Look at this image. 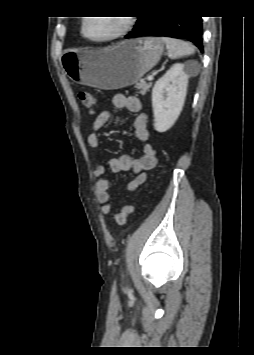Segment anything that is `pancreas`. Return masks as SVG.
<instances>
[{
  "label": "pancreas",
  "mask_w": 254,
  "mask_h": 355,
  "mask_svg": "<svg viewBox=\"0 0 254 355\" xmlns=\"http://www.w3.org/2000/svg\"><path fill=\"white\" fill-rule=\"evenodd\" d=\"M151 86H152V82H148V83L147 82H141V83H138L135 86V88L139 90V92H138L139 94L145 95L149 91Z\"/></svg>",
  "instance_id": "cf45deb5"
}]
</instances>
